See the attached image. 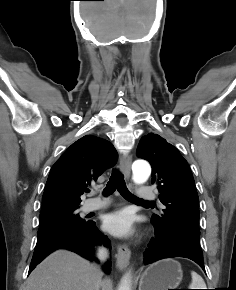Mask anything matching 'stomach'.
Listing matches in <instances>:
<instances>
[{
	"instance_id": "stomach-1",
	"label": "stomach",
	"mask_w": 236,
	"mask_h": 290,
	"mask_svg": "<svg viewBox=\"0 0 236 290\" xmlns=\"http://www.w3.org/2000/svg\"><path fill=\"white\" fill-rule=\"evenodd\" d=\"M183 277L181 265L174 259H164L150 265L141 275L139 290L177 289Z\"/></svg>"
}]
</instances>
